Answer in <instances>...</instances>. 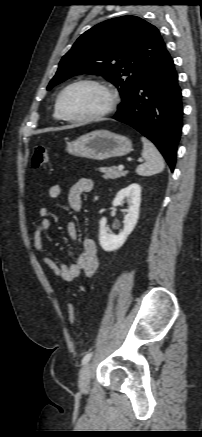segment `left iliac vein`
Returning <instances> with one entry per match:
<instances>
[{
	"instance_id": "left-iliac-vein-1",
	"label": "left iliac vein",
	"mask_w": 202,
	"mask_h": 437,
	"mask_svg": "<svg viewBox=\"0 0 202 437\" xmlns=\"http://www.w3.org/2000/svg\"><path fill=\"white\" fill-rule=\"evenodd\" d=\"M90 378H91V365L88 363L84 365L79 374V388L82 391H88L90 388Z\"/></svg>"
}]
</instances>
